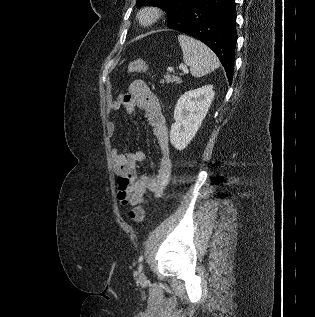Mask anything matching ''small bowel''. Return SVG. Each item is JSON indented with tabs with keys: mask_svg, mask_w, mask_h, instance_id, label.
Returning <instances> with one entry per match:
<instances>
[{
	"mask_svg": "<svg viewBox=\"0 0 315 317\" xmlns=\"http://www.w3.org/2000/svg\"><path fill=\"white\" fill-rule=\"evenodd\" d=\"M123 107L129 116L137 110H143L148 124L160 149L159 167L154 174L138 176L136 164L145 160L143 151L120 153L116 146L111 147L113 171L118 179V198L123 205L141 203L147 193L159 197L166 188L172 169L171 149L168 128L157 96L144 81H133L128 92L108 104L110 111ZM116 123H107L106 132L112 138L116 132Z\"/></svg>",
	"mask_w": 315,
	"mask_h": 317,
	"instance_id": "obj_1",
	"label": "small bowel"
}]
</instances>
